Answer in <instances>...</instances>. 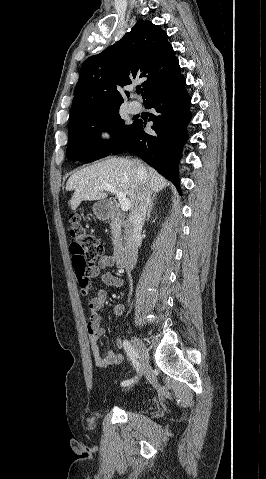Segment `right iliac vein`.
Instances as JSON below:
<instances>
[{
    "instance_id": "63e3f726",
    "label": "right iliac vein",
    "mask_w": 266,
    "mask_h": 479,
    "mask_svg": "<svg viewBox=\"0 0 266 479\" xmlns=\"http://www.w3.org/2000/svg\"><path fill=\"white\" fill-rule=\"evenodd\" d=\"M135 351L139 358V375H142L146 372L148 363H149V356L147 349L143 342L136 336L132 339Z\"/></svg>"
}]
</instances>
